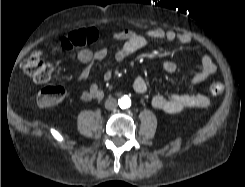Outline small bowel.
<instances>
[{"mask_svg":"<svg viewBox=\"0 0 245 187\" xmlns=\"http://www.w3.org/2000/svg\"><path fill=\"white\" fill-rule=\"evenodd\" d=\"M87 35L89 43H94L100 39V33L95 28L87 30L81 29ZM113 38L123 42L122 46L115 52L114 60L122 62L143 49L150 40H164L167 42H179L188 44L191 38L187 34L177 33L173 30H165L162 28H153L140 34L132 30H122L113 33ZM109 50L107 46H102L96 51L87 49L77 51L73 58L74 60L83 63L84 69L77 75L75 82L82 83L89 77L93 65L97 62L104 63V78L109 80L112 76L111 63L108 60ZM162 69L167 73H174L177 70V65L173 61H165L162 64ZM217 67L209 55H204L201 58V70L193 73L190 76L189 84L195 85L206 80L211 75L215 74ZM133 89L138 94L147 92V83L144 78L136 77L133 81ZM102 92L98 85L93 84L88 89L82 91L79 98L82 101L88 102L100 98ZM210 100L205 95L200 94H176L168 95L153 94L151 96V105L160 111L166 113H177L187 108H201L209 105Z\"/></svg>","mask_w":245,"mask_h":187,"instance_id":"1","label":"small bowel"}]
</instances>
